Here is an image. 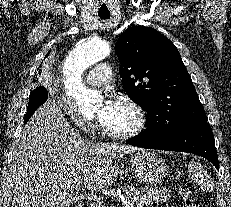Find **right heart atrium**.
<instances>
[{"label": "right heart atrium", "mask_w": 231, "mask_h": 207, "mask_svg": "<svg viewBox=\"0 0 231 207\" xmlns=\"http://www.w3.org/2000/svg\"><path fill=\"white\" fill-rule=\"evenodd\" d=\"M56 105L62 113L69 116L80 130L86 133H92L95 131L97 126L94 120L85 116L68 97H59L56 101Z\"/></svg>", "instance_id": "right-heart-atrium-1"}]
</instances>
